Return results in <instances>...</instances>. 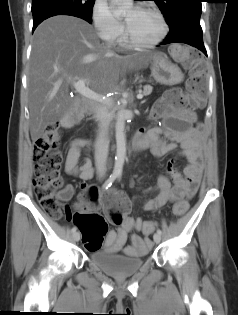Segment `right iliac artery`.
Segmentation results:
<instances>
[{
	"label": "right iliac artery",
	"instance_id": "82829eb1",
	"mask_svg": "<svg viewBox=\"0 0 238 315\" xmlns=\"http://www.w3.org/2000/svg\"><path fill=\"white\" fill-rule=\"evenodd\" d=\"M117 178V174L113 173L110 175V177L105 181V183L103 184L102 186V189L105 190V189H108L112 183L115 181V179ZM77 228L76 227H73L72 228V233L76 232Z\"/></svg>",
	"mask_w": 238,
	"mask_h": 315
}]
</instances>
